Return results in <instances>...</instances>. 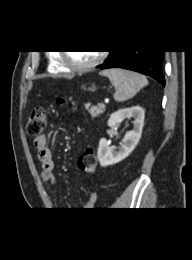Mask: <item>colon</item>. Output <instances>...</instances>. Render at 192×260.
Segmentation results:
<instances>
[{
	"label": "colon",
	"instance_id": "obj_1",
	"mask_svg": "<svg viewBox=\"0 0 192 260\" xmlns=\"http://www.w3.org/2000/svg\"><path fill=\"white\" fill-rule=\"evenodd\" d=\"M64 99H59V103H64ZM47 119L45 111L42 108H36L30 114L26 130L33 140H38L42 137L43 130L46 127ZM78 168L81 172L86 174L94 173L96 169V155L92 149H87L79 157Z\"/></svg>",
	"mask_w": 192,
	"mask_h": 260
}]
</instances>
